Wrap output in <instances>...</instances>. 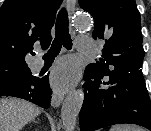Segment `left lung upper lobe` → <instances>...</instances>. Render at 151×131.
<instances>
[{
    "mask_svg": "<svg viewBox=\"0 0 151 131\" xmlns=\"http://www.w3.org/2000/svg\"><path fill=\"white\" fill-rule=\"evenodd\" d=\"M95 21L93 38L105 39L102 57L86 68L99 76L142 67L140 13L135 0H79Z\"/></svg>",
    "mask_w": 151,
    "mask_h": 131,
    "instance_id": "obj_1",
    "label": "left lung upper lobe"
}]
</instances>
